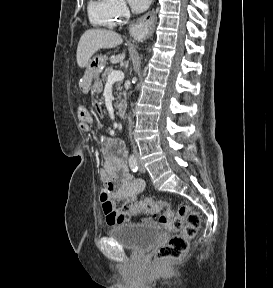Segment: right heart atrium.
I'll list each match as a JSON object with an SVG mask.
<instances>
[{"mask_svg":"<svg viewBox=\"0 0 273 288\" xmlns=\"http://www.w3.org/2000/svg\"><path fill=\"white\" fill-rule=\"evenodd\" d=\"M111 2L116 15L121 21L129 17L130 10L125 0H111Z\"/></svg>","mask_w":273,"mask_h":288,"instance_id":"1","label":"right heart atrium"}]
</instances>
